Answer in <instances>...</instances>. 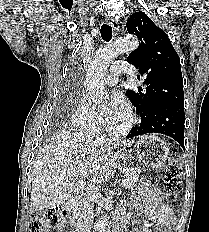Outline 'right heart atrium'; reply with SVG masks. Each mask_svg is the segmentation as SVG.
Here are the masks:
<instances>
[{
    "label": "right heart atrium",
    "mask_w": 209,
    "mask_h": 232,
    "mask_svg": "<svg viewBox=\"0 0 209 232\" xmlns=\"http://www.w3.org/2000/svg\"><path fill=\"white\" fill-rule=\"evenodd\" d=\"M71 124L80 131L95 132L105 125V120L92 101L86 95H81L73 110Z\"/></svg>",
    "instance_id": "obj_1"
}]
</instances>
